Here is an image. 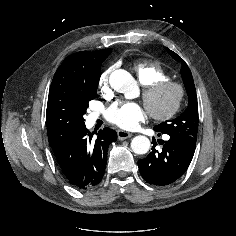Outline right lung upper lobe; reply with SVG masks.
Here are the masks:
<instances>
[{"mask_svg": "<svg viewBox=\"0 0 236 236\" xmlns=\"http://www.w3.org/2000/svg\"><path fill=\"white\" fill-rule=\"evenodd\" d=\"M100 50L68 56L57 69L50 86L46 111L49 145L55 156L67 146L84 123L76 98V87L97 70L95 57Z\"/></svg>", "mask_w": 236, "mask_h": 236, "instance_id": "1", "label": "right lung upper lobe"}]
</instances>
